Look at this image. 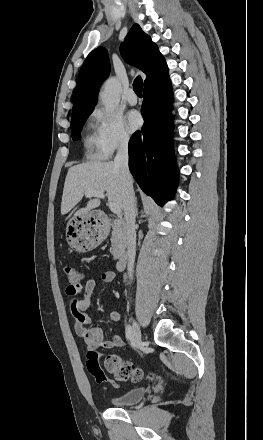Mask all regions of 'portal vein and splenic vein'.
I'll list each match as a JSON object with an SVG mask.
<instances>
[{
    "label": "portal vein and splenic vein",
    "mask_w": 263,
    "mask_h": 440,
    "mask_svg": "<svg viewBox=\"0 0 263 440\" xmlns=\"http://www.w3.org/2000/svg\"><path fill=\"white\" fill-rule=\"evenodd\" d=\"M85 196L87 198H91V197H97V198H101V199L105 198L104 192H102V191H89V192L85 193ZM108 206H109V209L113 213H115L117 215L121 214V208H120V206L116 202H110L108 204Z\"/></svg>",
    "instance_id": "obj_1"
}]
</instances>
